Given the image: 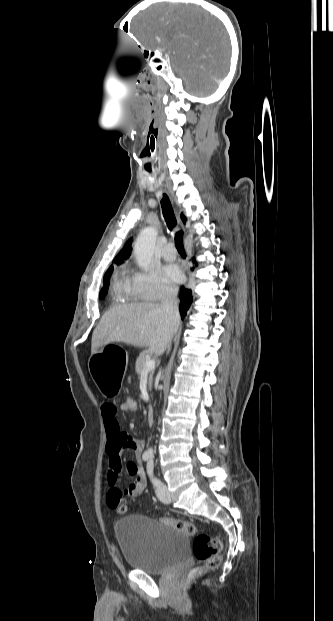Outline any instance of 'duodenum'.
<instances>
[{
  "label": "duodenum",
  "instance_id": "410a0bca",
  "mask_svg": "<svg viewBox=\"0 0 333 621\" xmlns=\"http://www.w3.org/2000/svg\"><path fill=\"white\" fill-rule=\"evenodd\" d=\"M154 416H155V413H154L153 408H149V409H148V411H147V422H148L149 424H152V423H153V421H154Z\"/></svg>",
  "mask_w": 333,
  "mask_h": 621
}]
</instances>
